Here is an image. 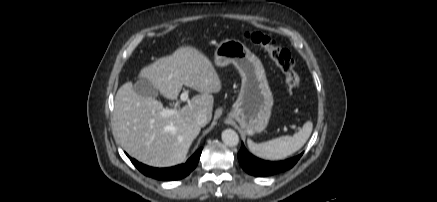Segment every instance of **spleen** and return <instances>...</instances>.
Masks as SVG:
<instances>
[{
  "label": "spleen",
  "instance_id": "spleen-1",
  "mask_svg": "<svg viewBox=\"0 0 437 202\" xmlns=\"http://www.w3.org/2000/svg\"><path fill=\"white\" fill-rule=\"evenodd\" d=\"M312 129L313 123L307 121L293 136H281L259 144L248 139V148L259 158L281 160L301 149L310 137Z\"/></svg>",
  "mask_w": 437,
  "mask_h": 202
}]
</instances>
